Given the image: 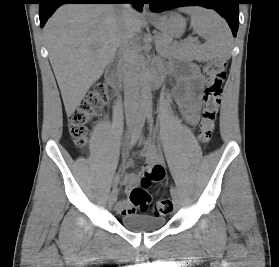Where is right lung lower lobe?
Returning <instances> with one entry per match:
<instances>
[{
    "instance_id": "1",
    "label": "right lung lower lobe",
    "mask_w": 279,
    "mask_h": 267,
    "mask_svg": "<svg viewBox=\"0 0 279 267\" xmlns=\"http://www.w3.org/2000/svg\"><path fill=\"white\" fill-rule=\"evenodd\" d=\"M65 3H132L136 9L142 10L144 0H40V26L43 27L55 10Z\"/></svg>"
}]
</instances>
